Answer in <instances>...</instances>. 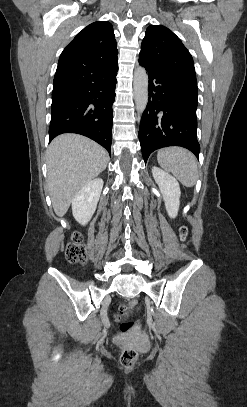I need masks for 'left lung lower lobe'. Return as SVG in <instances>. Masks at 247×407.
<instances>
[{
	"label": "left lung lower lobe",
	"mask_w": 247,
	"mask_h": 407,
	"mask_svg": "<svg viewBox=\"0 0 247 407\" xmlns=\"http://www.w3.org/2000/svg\"><path fill=\"white\" fill-rule=\"evenodd\" d=\"M139 63L149 75V99L139 129L145 162L153 151L167 146L187 148L199 158L196 77L157 69L141 58Z\"/></svg>",
	"instance_id": "left-lung-lower-lobe-1"
}]
</instances>
